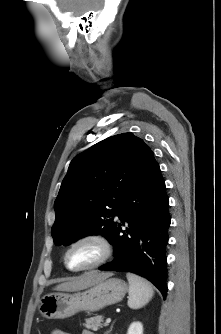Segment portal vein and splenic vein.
Returning a JSON list of instances; mask_svg holds the SVG:
<instances>
[{
  "label": "portal vein and splenic vein",
  "mask_w": 221,
  "mask_h": 334,
  "mask_svg": "<svg viewBox=\"0 0 221 334\" xmlns=\"http://www.w3.org/2000/svg\"><path fill=\"white\" fill-rule=\"evenodd\" d=\"M111 322V319L110 318H107L106 319V323H110Z\"/></svg>",
  "instance_id": "1"
}]
</instances>
